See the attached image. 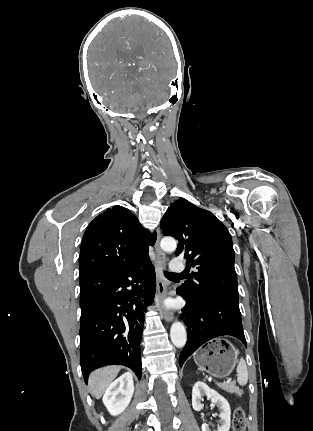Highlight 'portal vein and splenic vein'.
Segmentation results:
<instances>
[{"label": "portal vein and splenic vein", "instance_id": "obj_1", "mask_svg": "<svg viewBox=\"0 0 313 431\" xmlns=\"http://www.w3.org/2000/svg\"><path fill=\"white\" fill-rule=\"evenodd\" d=\"M230 382V379L229 380H227V382L226 383H229ZM218 384V383H217Z\"/></svg>", "mask_w": 313, "mask_h": 431}]
</instances>
